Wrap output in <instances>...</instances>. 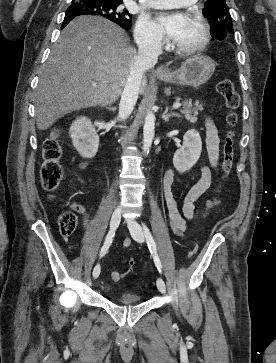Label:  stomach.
Segmentation results:
<instances>
[{"label":"stomach","instance_id":"stomach-1","mask_svg":"<svg viewBox=\"0 0 276 363\" xmlns=\"http://www.w3.org/2000/svg\"><path fill=\"white\" fill-rule=\"evenodd\" d=\"M215 71V62L207 56H194L182 62L175 71L158 74L166 83L198 88L205 84Z\"/></svg>","mask_w":276,"mask_h":363}]
</instances>
